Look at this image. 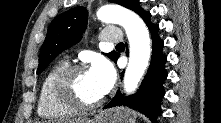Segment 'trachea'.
<instances>
[{
	"label": "trachea",
	"mask_w": 221,
	"mask_h": 123,
	"mask_svg": "<svg viewBox=\"0 0 221 123\" xmlns=\"http://www.w3.org/2000/svg\"><path fill=\"white\" fill-rule=\"evenodd\" d=\"M117 47H124V43L123 42H120L116 45Z\"/></svg>",
	"instance_id": "trachea-1"
}]
</instances>
